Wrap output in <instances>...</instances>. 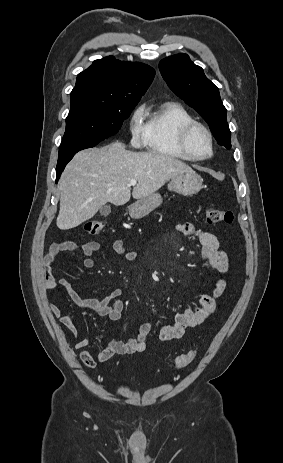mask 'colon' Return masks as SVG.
Segmentation results:
<instances>
[{"label": "colon", "mask_w": 283, "mask_h": 463, "mask_svg": "<svg viewBox=\"0 0 283 463\" xmlns=\"http://www.w3.org/2000/svg\"><path fill=\"white\" fill-rule=\"evenodd\" d=\"M206 221L209 224H231L233 222V214L228 210L209 208L206 210ZM105 227L103 220H92L84 225V231L89 235H97ZM196 351H190L188 353L178 356L174 362V368H183L189 365L196 357Z\"/></svg>", "instance_id": "1"}]
</instances>
